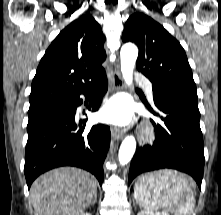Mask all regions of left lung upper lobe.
Here are the masks:
<instances>
[{
    "label": "left lung upper lobe",
    "instance_id": "obj_1",
    "mask_svg": "<svg viewBox=\"0 0 221 215\" xmlns=\"http://www.w3.org/2000/svg\"><path fill=\"white\" fill-rule=\"evenodd\" d=\"M122 40L138 46L136 67L152 82L153 92H175L198 101L185 51L162 25L135 13L125 24Z\"/></svg>",
    "mask_w": 221,
    "mask_h": 215
}]
</instances>
